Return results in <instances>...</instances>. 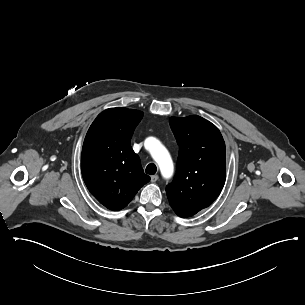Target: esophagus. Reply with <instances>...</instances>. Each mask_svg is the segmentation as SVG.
<instances>
[{
	"label": "esophagus",
	"instance_id": "esophagus-1",
	"mask_svg": "<svg viewBox=\"0 0 305 305\" xmlns=\"http://www.w3.org/2000/svg\"><path fill=\"white\" fill-rule=\"evenodd\" d=\"M158 180V175L151 176V182H156Z\"/></svg>",
	"mask_w": 305,
	"mask_h": 305
}]
</instances>
